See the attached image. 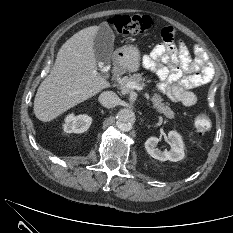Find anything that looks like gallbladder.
I'll list each match as a JSON object with an SVG mask.
<instances>
[{
  "mask_svg": "<svg viewBox=\"0 0 233 233\" xmlns=\"http://www.w3.org/2000/svg\"><path fill=\"white\" fill-rule=\"evenodd\" d=\"M114 33L110 26L103 22L94 37L93 50L98 61L107 62L114 49Z\"/></svg>",
  "mask_w": 233,
  "mask_h": 233,
  "instance_id": "1",
  "label": "gallbladder"
}]
</instances>
